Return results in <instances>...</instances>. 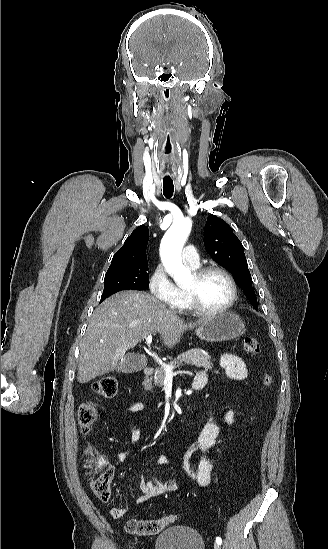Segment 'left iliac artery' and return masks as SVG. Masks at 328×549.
Instances as JSON below:
<instances>
[{
    "label": "left iliac artery",
    "instance_id": "44dca946",
    "mask_svg": "<svg viewBox=\"0 0 328 549\" xmlns=\"http://www.w3.org/2000/svg\"><path fill=\"white\" fill-rule=\"evenodd\" d=\"M216 543L221 545L222 544V539L220 537H216Z\"/></svg>",
    "mask_w": 328,
    "mask_h": 549
}]
</instances>
